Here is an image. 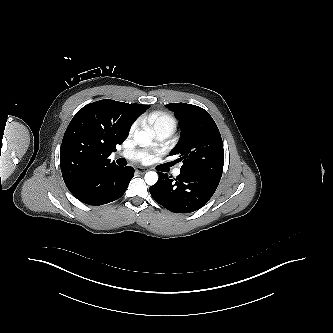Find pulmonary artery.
Masks as SVG:
<instances>
[{"label": "pulmonary artery", "mask_w": 333, "mask_h": 333, "mask_svg": "<svg viewBox=\"0 0 333 333\" xmlns=\"http://www.w3.org/2000/svg\"><path fill=\"white\" fill-rule=\"evenodd\" d=\"M174 129L172 127H160L155 130L156 133V139L157 141L161 142L167 139L172 133ZM119 156L127 159V160H140L144 157V154L141 151L138 150H125L121 153H119ZM180 169L174 170V175H179Z\"/></svg>", "instance_id": "1"}]
</instances>
